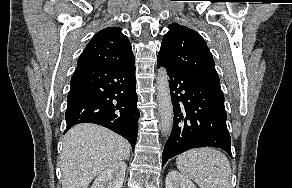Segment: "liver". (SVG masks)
I'll list each match as a JSON object with an SVG mask.
<instances>
[{
  "label": "liver",
  "instance_id": "obj_1",
  "mask_svg": "<svg viewBox=\"0 0 292 188\" xmlns=\"http://www.w3.org/2000/svg\"><path fill=\"white\" fill-rule=\"evenodd\" d=\"M131 146L126 139L104 127L82 123L65 135L60 156L63 188H88L103 170L126 159Z\"/></svg>",
  "mask_w": 292,
  "mask_h": 188
}]
</instances>
